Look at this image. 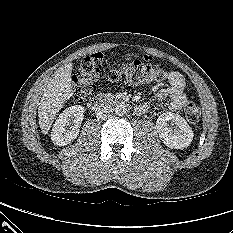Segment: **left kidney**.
<instances>
[{
	"label": "left kidney",
	"instance_id": "5707ae66",
	"mask_svg": "<svg viewBox=\"0 0 233 233\" xmlns=\"http://www.w3.org/2000/svg\"><path fill=\"white\" fill-rule=\"evenodd\" d=\"M175 125L172 130L169 124ZM156 130L163 143L173 149L187 148L193 139V131L183 117L172 112L162 113L156 121Z\"/></svg>",
	"mask_w": 233,
	"mask_h": 233
}]
</instances>
